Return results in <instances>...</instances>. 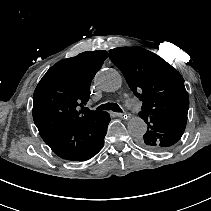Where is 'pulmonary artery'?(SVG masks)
Masks as SVG:
<instances>
[{
	"mask_svg": "<svg viewBox=\"0 0 211 211\" xmlns=\"http://www.w3.org/2000/svg\"><path fill=\"white\" fill-rule=\"evenodd\" d=\"M129 105L138 108V102H137L136 100H131V101L129 102Z\"/></svg>",
	"mask_w": 211,
	"mask_h": 211,
	"instance_id": "pulmonary-artery-1",
	"label": "pulmonary artery"
}]
</instances>
